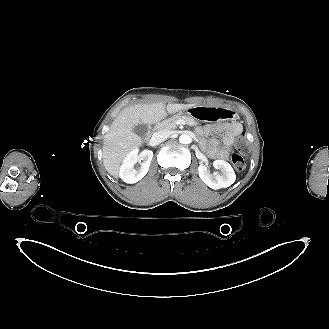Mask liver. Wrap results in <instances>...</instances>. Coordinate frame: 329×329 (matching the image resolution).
I'll return each mask as SVG.
<instances>
[{"mask_svg": "<svg viewBox=\"0 0 329 329\" xmlns=\"http://www.w3.org/2000/svg\"><path fill=\"white\" fill-rule=\"evenodd\" d=\"M193 106V104L174 103H169L166 106L163 102H158L136 104L121 110L104 136L103 164L108 173L118 178L120 165L125 156L131 150L143 144L141 137L133 131L136 125L141 123L154 124L164 119L167 116V112L175 114Z\"/></svg>", "mask_w": 329, "mask_h": 329, "instance_id": "liver-1", "label": "liver"}]
</instances>
